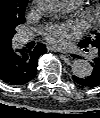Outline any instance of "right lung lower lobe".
Segmentation results:
<instances>
[{
    "instance_id": "98d812e1",
    "label": "right lung lower lobe",
    "mask_w": 100,
    "mask_h": 118,
    "mask_svg": "<svg viewBox=\"0 0 100 118\" xmlns=\"http://www.w3.org/2000/svg\"><path fill=\"white\" fill-rule=\"evenodd\" d=\"M45 52V46L38 44L34 49L10 48L0 53V79L9 85L28 83L36 76L37 60Z\"/></svg>"
}]
</instances>
